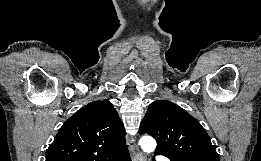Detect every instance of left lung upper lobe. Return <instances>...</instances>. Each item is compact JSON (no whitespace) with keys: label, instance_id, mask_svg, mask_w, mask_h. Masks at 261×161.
I'll return each instance as SVG.
<instances>
[{"label":"left lung upper lobe","instance_id":"1","mask_svg":"<svg viewBox=\"0 0 261 161\" xmlns=\"http://www.w3.org/2000/svg\"><path fill=\"white\" fill-rule=\"evenodd\" d=\"M139 133L153 136L158 143L155 153L171 161H219L216 146L201 124L168 100L150 104Z\"/></svg>","mask_w":261,"mask_h":161}]
</instances>
